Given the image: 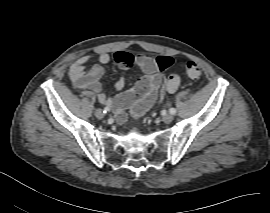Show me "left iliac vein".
Instances as JSON below:
<instances>
[{
    "label": "left iliac vein",
    "mask_w": 270,
    "mask_h": 213,
    "mask_svg": "<svg viewBox=\"0 0 270 213\" xmlns=\"http://www.w3.org/2000/svg\"><path fill=\"white\" fill-rule=\"evenodd\" d=\"M173 118L174 117L172 116V114L168 113V114H165L163 116L162 120H163V122L168 124V123H171L173 121Z\"/></svg>",
    "instance_id": "obj_1"
}]
</instances>
